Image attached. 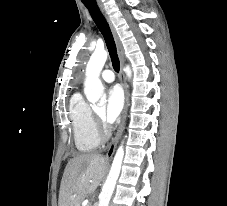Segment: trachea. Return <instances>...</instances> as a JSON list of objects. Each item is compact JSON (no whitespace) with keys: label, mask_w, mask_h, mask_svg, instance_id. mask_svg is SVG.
I'll list each match as a JSON object with an SVG mask.
<instances>
[{"label":"trachea","mask_w":227,"mask_h":206,"mask_svg":"<svg viewBox=\"0 0 227 206\" xmlns=\"http://www.w3.org/2000/svg\"><path fill=\"white\" fill-rule=\"evenodd\" d=\"M83 3L89 10L91 17L93 18L94 22L96 23L97 27L99 28L100 32L102 33L105 39L114 70L116 72H119L120 62L117 55L115 41L105 17L101 13L96 0H89V2Z\"/></svg>","instance_id":"trachea-1"}]
</instances>
